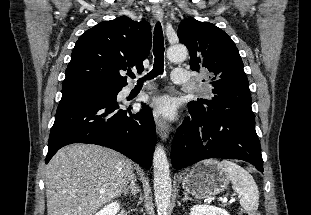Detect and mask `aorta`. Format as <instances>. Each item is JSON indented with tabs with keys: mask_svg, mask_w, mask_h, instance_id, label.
<instances>
[{
	"mask_svg": "<svg viewBox=\"0 0 311 215\" xmlns=\"http://www.w3.org/2000/svg\"><path fill=\"white\" fill-rule=\"evenodd\" d=\"M187 56V49L183 45H173L167 50L170 61H183ZM154 196L158 215H166L170 206L172 191L168 159L163 146L158 144L153 155Z\"/></svg>",
	"mask_w": 311,
	"mask_h": 215,
	"instance_id": "aorta-1",
	"label": "aorta"
}]
</instances>
